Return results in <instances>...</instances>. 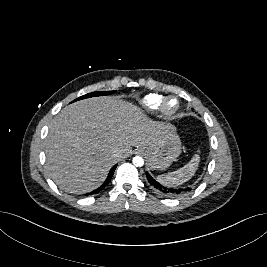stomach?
<instances>
[{"label":"stomach","instance_id":"1","mask_svg":"<svg viewBox=\"0 0 267 267\" xmlns=\"http://www.w3.org/2000/svg\"><path fill=\"white\" fill-rule=\"evenodd\" d=\"M142 150L151 169L164 170L169 167L181 153V141L176 127L165 125V132L158 143Z\"/></svg>","mask_w":267,"mask_h":267}]
</instances>
